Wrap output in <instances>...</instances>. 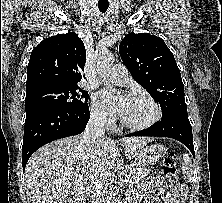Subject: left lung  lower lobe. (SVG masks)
Listing matches in <instances>:
<instances>
[{"instance_id": "obj_1", "label": "left lung lower lobe", "mask_w": 222, "mask_h": 203, "mask_svg": "<svg viewBox=\"0 0 222 203\" xmlns=\"http://www.w3.org/2000/svg\"><path fill=\"white\" fill-rule=\"evenodd\" d=\"M129 136H160L170 137L183 143L195 155L193 145L192 127L188 119L187 113L173 112L162 117L161 121L151 127L137 131Z\"/></svg>"}]
</instances>
